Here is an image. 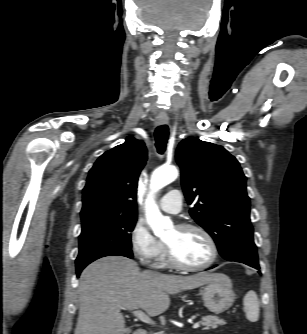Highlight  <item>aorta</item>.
<instances>
[{
    "label": "aorta",
    "mask_w": 307,
    "mask_h": 334,
    "mask_svg": "<svg viewBox=\"0 0 307 334\" xmlns=\"http://www.w3.org/2000/svg\"><path fill=\"white\" fill-rule=\"evenodd\" d=\"M178 170L174 166H162L156 169L150 180V194L146 200V219L153 233L157 237L163 236L173 227L169 217L163 216L154 200V193L170 184L178 177Z\"/></svg>",
    "instance_id": "1"
}]
</instances>
